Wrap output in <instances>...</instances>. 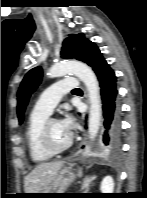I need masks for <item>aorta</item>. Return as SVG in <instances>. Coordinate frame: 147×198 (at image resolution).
<instances>
[{
    "instance_id": "obj_1",
    "label": "aorta",
    "mask_w": 147,
    "mask_h": 198,
    "mask_svg": "<svg viewBox=\"0 0 147 198\" xmlns=\"http://www.w3.org/2000/svg\"><path fill=\"white\" fill-rule=\"evenodd\" d=\"M69 73H73L77 76L87 88L90 100L88 133L90 139L94 140L99 130L102 113L100 87L97 77L92 69L85 63L74 60L54 64L49 69L47 75L50 78H55L62 77Z\"/></svg>"
}]
</instances>
